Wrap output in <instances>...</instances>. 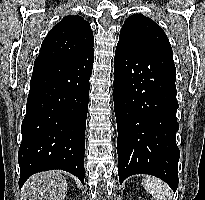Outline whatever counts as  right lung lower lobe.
Here are the masks:
<instances>
[{
    "label": "right lung lower lobe",
    "mask_w": 205,
    "mask_h": 200,
    "mask_svg": "<svg viewBox=\"0 0 205 200\" xmlns=\"http://www.w3.org/2000/svg\"><path fill=\"white\" fill-rule=\"evenodd\" d=\"M94 50L72 58L35 60L22 143L19 187L34 173L68 171L84 183L85 129Z\"/></svg>",
    "instance_id": "1"
}]
</instances>
